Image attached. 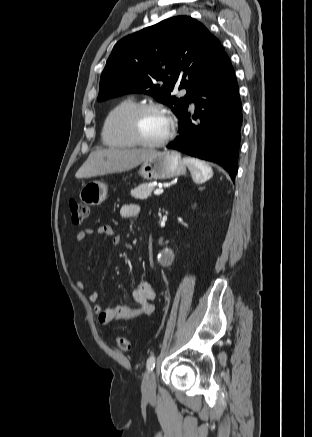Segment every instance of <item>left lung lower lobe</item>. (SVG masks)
Returning <instances> with one entry per match:
<instances>
[{
	"label": "left lung lower lobe",
	"mask_w": 312,
	"mask_h": 437,
	"mask_svg": "<svg viewBox=\"0 0 312 437\" xmlns=\"http://www.w3.org/2000/svg\"><path fill=\"white\" fill-rule=\"evenodd\" d=\"M190 102L195 103L194 115L191 117L187 111L188 104L179 118L180 135L167 147L215 162L234 180L240 145L242 104L234 69L226 53Z\"/></svg>",
	"instance_id": "1"
}]
</instances>
